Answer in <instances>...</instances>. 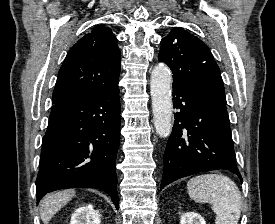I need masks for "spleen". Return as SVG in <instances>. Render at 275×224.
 Segmentation results:
<instances>
[{
    "mask_svg": "<svg viewBox=\"0 0 275 224\" xmlns=\"http://www.w3.org/2000/svg\"><path fill=\"white\" fill-rule=\"evenodd\" d=\"M189 196L197 203H210L216 214L215 224H238L241 212V194L229 177L204 174L187 182Z\"/></svg>",
    "mask_w": 275,
    "mask_h": 224,
    "instance_id": "obj_1",
    "label": "spleen"
}]
</instances>
